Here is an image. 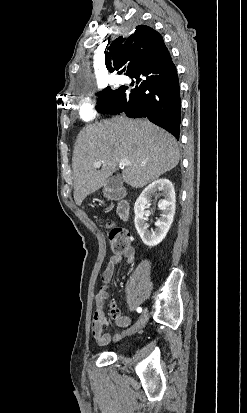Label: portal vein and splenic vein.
<instances>
[{"instance_id":"18ae733b","label":"portal vein and splenic vein","mask_w":247,"mask_h":413,"mask_svg":"<svg viewBox=\"0 0 247 413\" xmlns=\"http://www.w3.org/2000/svg\"><path fill=\"white\" fill-rule=\"evenodd\" d=\"M102 162L101 160H95L94 166H101ZM129 164V160H120L119 166L120 168H123V166H127Z\"/></svg>"}]
</instances>
